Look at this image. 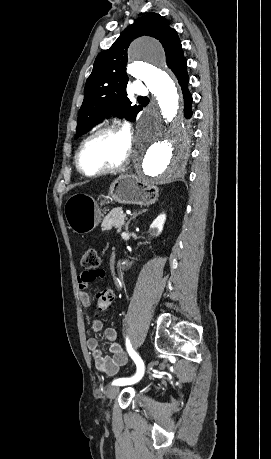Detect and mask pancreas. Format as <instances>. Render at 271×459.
Returning a JSON list of instances; mask_svg holds the SVG:
<instances>
[{"mask_svg": "<svg viewBox=\"0 0 271 459\" xmlns=\"http://www.w3.org/2000/svg\"><path fill=\"white\" fill-rule=\"evenodd\" d=\"M121 214H123L122 208H113V210L109 212L108 216H106L102 224V230L104 232H109L111 230V226H115V228H118L117 231H121L125 218V216L121 217Z\"/></svg>", "mask_w": 271, "mask_h": 459, "instance_id": "cf45deb5", "label": "pancreas"}]
</instances>
